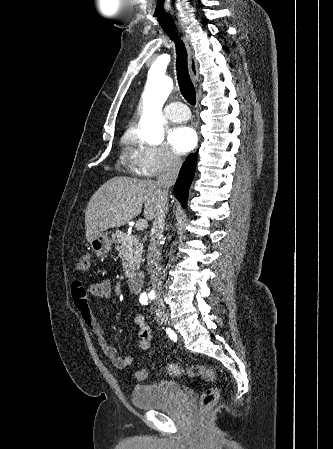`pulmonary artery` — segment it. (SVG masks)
Returning a JSON list of instances; mask_svg holds the SVG:
<instances>
[{
	"label": "pulmonary artery",
	"mask_w": 333,
	"mask_h": 449,
	"mask_svg": "<svg viewBox=\"0 0 333 449\" xmlns=\"http://www.w3.org/2000/svg\"><path fill=\"white\" fill-rule=\"evenodd\" d=\"M165 116L173 122L186 121L190 118L187 106L181 102H172L164 108Z\"/></svg>",
	"instance_id": "e3ab8cb5"
}]
</instances>
